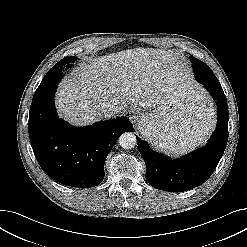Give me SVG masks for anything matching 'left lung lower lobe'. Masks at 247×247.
<instances>
[{
	"label": "left lung lower lobe",
	"mask_w": 247,
	"mask_h": 247,
	"mask_svg": "<svg viewBox=\"0 0 247 247\" xmlns=\"http://www.w3.org/2000/svg\"><path fill=\"white\" fill-rule=\"evenodd\" d=\"M196 80L217 101L218 122L207 145L177 160L153 151L137 137L138 150L146 164V179L154 188L181 192L203 184L217 167L228 140L226 96L212 70L202 61L193 64Z\"/></svg>",
	"instance_id": "1"
}]
</instances>
